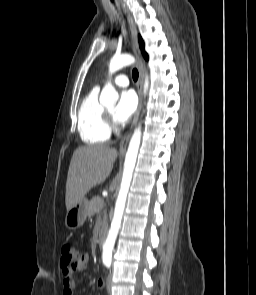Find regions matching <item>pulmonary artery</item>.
I'll return each mask as SVG.
<instances>
[{
  "mask_svg": "<svg viewBox=\"0 0 256 295\" xmlns=\"http://www.w3.org/2000/svg\"><path fill=\"white\" fill-rule=\"evenodd\" d=\"M113 82L119 87H127L129 85V79L124 74H119L115 76Z\"/></svg>",
  "mask_w": 256,
  "mask_h": 295,
  "instance_id": "1",
  "label": "pulmonary artery"
}]
</instances>
